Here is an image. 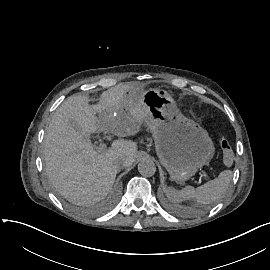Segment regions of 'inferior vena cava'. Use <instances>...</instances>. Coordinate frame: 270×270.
<instances>
[{
	"label": "inferior vena cava",
	"instance_id": "602c4592",
	"mask_svg": "<svg viewBox=\"0 0 270 270\" xmlns=\"http://www.w3.org/2000/svg\"><path fill=\"white\" fill-rule=\"evenodd\" d=\"M121 165H122V166H128V164H127L126 161H124Z\"/></svg>",
	"mask_w": 270,
	"mask_h": 270
}]
</instances>
